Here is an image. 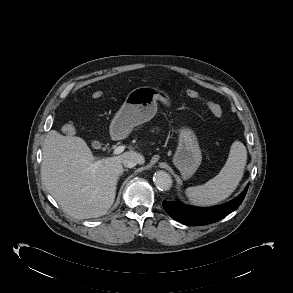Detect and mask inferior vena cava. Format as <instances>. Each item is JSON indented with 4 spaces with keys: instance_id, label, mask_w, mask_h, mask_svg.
<instances>
[{
    "instance_id": "inferior-vena-cava-1",
    "label": "inferior vena cava",
    "mask_w": 293,
    "mask_h": 293,
    "mask_svg": "<svg viewBox=\"0 0 293 293\" xmlns=\"http://www.w3.org/2000/svg\"><path fill=\"white\" fill-rule=\"evenodd\" d=\"M139 163V158L136 155H127L122 160V164L127 168H133Z\"/></svg>"
}]
</instances>
